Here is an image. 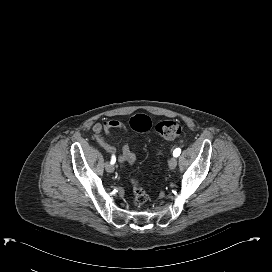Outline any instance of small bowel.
<instances>
[{
	"instance_id": "1",
	"label": "small bowel",
	"mask_w": 272,
	"mask_h": 272,
	"mask_svg": "<svg viewBox=\"0 0 272 272\" xmlns=\"http://www.w3.org/2000/svg\"><path fill=\"white\" fill-rule=\"evenodd\" d=\"M114 130H120L125 135H128L127 126L116 119L105 120L101 123H97L93 126V134L96 142L109 154L115 156L116 149L111 146L106 138L103 136V133L109 134ZM118 161L123 165H131L136 161L135 154L130 150L127 143L122 147L120 154L118 155Z\"/></svg>"
}]
</instances>
